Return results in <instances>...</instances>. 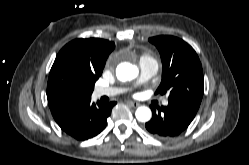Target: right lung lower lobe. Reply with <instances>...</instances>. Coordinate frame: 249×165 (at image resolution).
Instances as JSON below:
<instances>
[{
  "label": "right lung lower lobe",
  "mask_w": 249,
  "mask_h": 165,
  "mask_svg": "<svg viewBox=\"0 0 249 165\" xmlns=\"http://www.w3.org/2000/svg\"><path fill=\"white\" fill-rule=\"evenodd\" d=\"M116 102L109 104L98 101L91 102V98L67 103L51 109V113L68 135L77 140H87L98 135L105 129L107 118Z\"/></svg>",
  "instance_id": "1"
}]
</instances>
